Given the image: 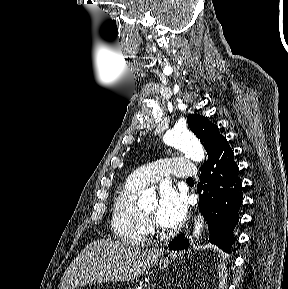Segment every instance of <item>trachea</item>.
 I'll return each instance as SVG.
<instances>
[{
    "mask_svg": "<svg viewBox=\"0 0 288 289\" xmlns=\"http://www.w3.org/2000/svg\"><path fill=\"white\" fill-rule=\"evenodd\" d=\"M188 180H193L192 178H188Z\"/></svg>",
    "mask_w": 288,
    "mask_h": 289,
    "instance_id": "trachea-1",
    "label": "trachea"
}]
</instances>
